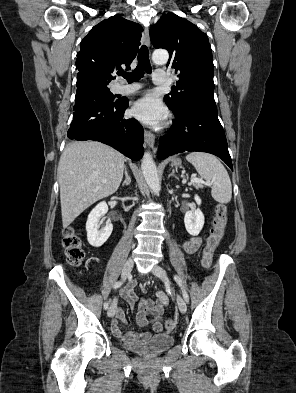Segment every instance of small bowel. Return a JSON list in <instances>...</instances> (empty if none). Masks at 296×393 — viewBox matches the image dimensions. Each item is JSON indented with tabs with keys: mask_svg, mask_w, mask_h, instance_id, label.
I'll list each match as a JSON object with an SVG mask.
<instances>
[{
	"mask_svg": "<svg viewBox=\"0 0 296 393\" xmlns=\"http://www.w3.org/2000/svg\"><path fill=\"white\" fill-rule=\"evenodd\" d=\"M202 245V239L200 237H190L183 243V248L187 253L196 252ZM137 284L132 282L128 284L122 291L121 296L129 303L130 307L134 310L136 303L139 304V308L136 312L137 322L140 326H146L151 323L152 329L155 332H159L162 329L161 318L164 313L165 307L168 305V297L162 291L156 292V298H143L136 294ZM142 291H145L144 286H140ZM115 319L112 322L111 328L113 333L121 337L125 342H139L147 340L151 337L150 331H144L139 333L122 331V326L126 324L125 313L122 308H116ZM147 314H151L153 321H149L146 317Z\"/></svg>",
	"mask_w": 296,
	"mask_h": 393,
	"instance_id": "obj_1",
	"label": "small bowel"
}]
</instances>
